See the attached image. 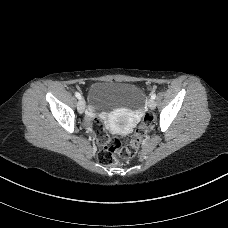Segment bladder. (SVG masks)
Returning <instances> with one entry per match:
<instances>
[{
	"mask_svg": "<svg viewBox=\"0 0 228 228\" xmlns=\"http://www.w3.org/2000/svg\"><path fill=\"white\" fill-rule=\"evenodd\" d=\"M90 108L111 111L120 107L139 109L144 102L141 88L130 83L96 82L89 89Z\"/></svg>",
	"mask_w": 228,
	"mask_h": 228,
	"instance_id": "31cf9c89",
	"label": "bladder"
}]
</instances>
